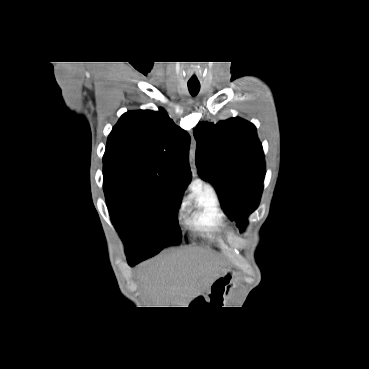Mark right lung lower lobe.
I'll return each instance as SVG.
<instances>
[{"label":"right lung lower lobe","mask_w":369,"mask_h":369,"mask_svg":"<svg viewBox=\"0 0 369 369\" xmlns=\"http://www.w3.org/2000/svg\"><path fill=\"white\" fill-rule=\"evenodd\" d=\"M128 263H129L130 266H134L135 264L138 263V261H128Z\"/></svg>","instance_id":"obj_1"}]
</instances>
